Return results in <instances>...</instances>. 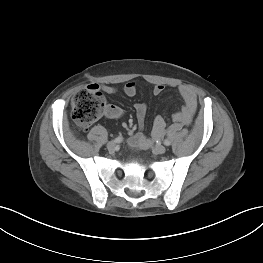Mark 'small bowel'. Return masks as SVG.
<instances>
[{
	"label": "small bowel",
	"mask_w": 263,
	"mask_h": 263,
	"mask_svg": "<svg viewBox=\"0 0 263 263\" xmlns=\"http://www.w3.org/2000/svg\"><path fill=\"white\" fill-rule=\"evenodd\" d=\"M98 89H102L106 94H114L116 89L110 85H103L99 87L96 84H93ZM165 87L161 84H157L153 88L154 95H160L164 91ZM179 94L184 102V105L180 111L174 114L173 119L176 122L188 124L191 122L196 109H197V97L195 92L186 85H181L178 88ZM137 87L135 82L130 81L125 84L124 86V93L129 96L133 97L136 95ZM146 105L144 103H136L134 105V109L136 112V117L138 120L139 127L142 128L144 125V119L146 114ZM122 109L116 105H108L105 111V115L110 119H118L122 116ZM165 121L161 116H157L154 120L152 136L159 137L163 134L165 130ZM128 143L132 147L136 148H144L147 146V138L141 132L134 133L130 136Z\"/></svg>",
	"instance_id": "1"
}]
</instances>
